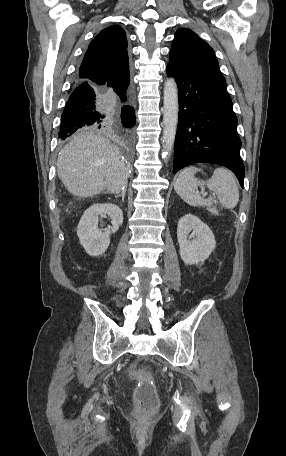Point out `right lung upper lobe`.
Masks as SVG:
<instances>
[{
    "label": "right lung upper lobe",
    "mask_w": 286,
    "mask_h": 456,
    "mask_svg": "<svg viewBox=\"0 0 286 456\" xmlns=\"http://www.w3.org/2000/svg\"><path fill=\"white\" fill-rule=\"evenodd\" d=\"M78 75L91 77L98 82L129 76L127 39L121 27L109 26L92 40Z\"/></svg>",
    "instance_id": "cb5924a9"
}]
</instances>
